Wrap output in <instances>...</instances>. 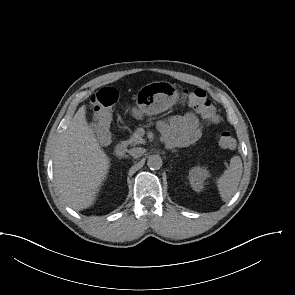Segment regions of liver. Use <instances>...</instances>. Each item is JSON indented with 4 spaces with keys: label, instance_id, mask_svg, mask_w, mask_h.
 <instances>
[{
    "label": "liver",
    "instance_id": "1",
    "mask_svg": "<svg viewBox=\"0 0 295 295\" xmlns=\"http://www.w3.org/2000/svg\"><path fill=\"white\" fill-rule=\"evenodd\" d=\"M109 168L110 159L88 125L83 105L54 150V179L63 200L76 211L93 205Z\"/></svg>",
    "mask_w": 295,
    "mask_h": 295
}]
</instances>
